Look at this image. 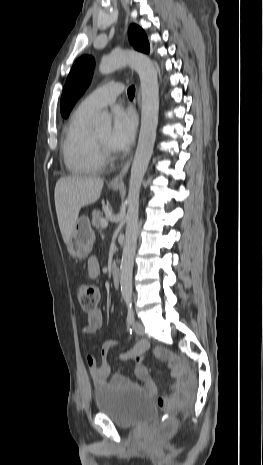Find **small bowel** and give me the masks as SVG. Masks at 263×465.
<instances>
[{
    "label": "small bowel",
    "instance_id": "obj_1",
    "mask_svg": "<svg viewBox=\"0 0 263 465\" xmlns=\"http://www.w3.org/2000/svg\"><path fill=\"white\" fill-rule=\"evenodd\" d=\"M87 269L90 278L94 279L99 274V262L96 257L89 258L87 262ZM103 324V314L101 309L97 308L94 311L87 314V324L84 326L82 332L84 335H94ZM128 338L124 339H109L107 340L101 348V361L97 362L96 358L93 355H88L86 357V364L89 369L90 376L92 378L95 388L101 389L107 385L115 387H141L139 384L132 382L127 377L115 374L111 377L110 380V366L108 363V353L112 346L127 341ZM148 348V344L145 341H138L135 343L134 347L119 356L121 360L134 359L135 364V374L143 382V388L151 393L156 394V387L152 382L148 369L143 361L142 355Z\"/></svg>",
    "mask_w": 263,
    "mask_h": 465
}]
</instances>
